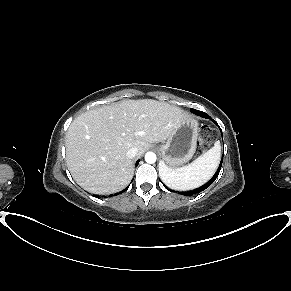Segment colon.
I'll list each match as a JSON object with an SVG mask.
<instances>
[{
    "mask_svg": "<svg viewBox=\"0 0 291 291\" xmlns=\"http://www.w3.org/2000/svg\"><path fill=\"white\" fill-rule=\"evenodd\" d=\"M214 134L211 128L204 126L201 131V137L199 141V149L204 151L206 150L211 142L213 141Z\"/></svg>",
    "mask_w": 291,
    "mask_h": 291,
    "instance_id": "colon-1",
    "label": "colon"
}]
</instances>
